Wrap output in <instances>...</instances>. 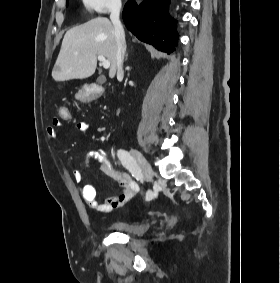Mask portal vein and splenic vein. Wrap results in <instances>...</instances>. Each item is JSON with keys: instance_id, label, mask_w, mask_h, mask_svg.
<instances>
[{"instance_id": "18ae733b", "label": "portal vein and splenic vein", "mask_w": 280, "mask_h": 283, "mask_svg": "<svg viewBox=\"0 0 280 283\" xmlns=\"http://www.w3.org/2000/svg\"><path fill=\"white\" fill-rule=\"evenodd\" d=\"M98 60L101 62V64L103 65L105 69H108L110 67V61L106 59L105 56L99 54Z\"/></svg>"}]
</instances>
